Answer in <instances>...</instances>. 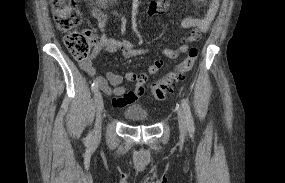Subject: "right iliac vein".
Returning <instances> with one entry per match:
<instances>
[{"instance_id":"obj_1","label":"right iliac vein","mask_w":285,"mask_h":183,"mask_svg":"<svg viewBox=\"0 0 285 183\" xmlns=\"http://www.w3.org/2000/svg\"><path fill=\"white\" fill-rule=\"evenodd\" d=\"M94 101L96 106V121L94 127V138H99L101 135V120H102V112L104 109V102L101 93L96 90L94 93Z\"/></svg>"}]
</instances>
